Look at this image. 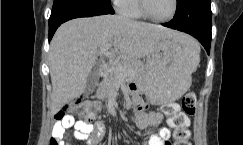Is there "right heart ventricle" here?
Instances as JSON below:
<instances>
[{
    "label": "right heart ventricle",
    "mask_w": 243,
    "mask_h": 145,
    "mask_svg": "<svg viewBox=\"0 0 243 145\" xmlns=\"http://www.w3.org/2000/svg\"><path fill=\"white\" fill-rule=\"evenodd\" d=\"M119 11L123 16L128 18L139 19L143 17L138 8L137 0H124L119 7Z\"/></svg>",
    "instance_id": "right-heart-ventricle-1"
}]
</instances>
